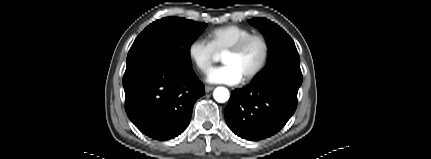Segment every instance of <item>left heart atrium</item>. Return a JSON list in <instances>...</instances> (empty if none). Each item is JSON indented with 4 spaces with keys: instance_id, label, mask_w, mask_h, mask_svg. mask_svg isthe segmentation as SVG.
I'll use <instances>...</instances> for the list:
<instances>
[{
    "instance_id": "39dd6f15",
    "label": "left heart atrium",
    "mask_w": 431,
    "mask_h": 159,
    "mask_svg": "<svg viewBox=\"0 0 431 159\" xmlns=\"http://www.w3.org/2000/svg\"><path fill=\"white\" fill-rule=\"evenodd\" d=\"M242 79L237 69L229 64L215 67L207 75V81L213 84L237 85Z\"/></svg>"
}]
</instances>
